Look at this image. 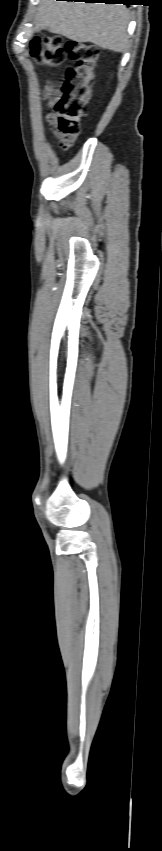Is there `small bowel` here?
<instances>
[{
    "instance_id": "c3829d8e",
    "label": "small bowel",
    "mask_w": 162,
    "mask_h": 851,
    "mask_svg": "<svg viewBox=\"0 0 162 851\" xmlns=\"http://www.w3.org/2000/svg\"><path fill=\"white\" fill-rule=\"evenodd\" d=\"M60 97V90L57 89L52 84H47L44 90V98L47 101L48 106L53 105ZM47 122L50 124L53 130V134L55 137L59 139L60 146L63 149H68L72 146L74 142L69 140L65 135L57 130L56 127V117L54 114L50 113L46 117Z\"/></svg>"
}]
</instances>
